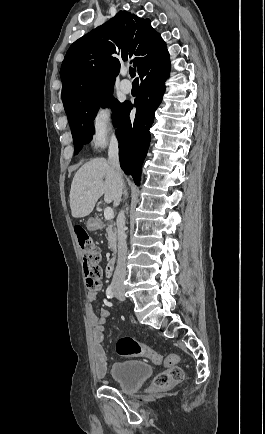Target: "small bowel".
I'll use <instances>...</instances> for the list:
<instances>
[{"label":"small bowel","instance_id":"1","mask_svg":"<svg viewBox=\"0 0 265 434\" xmlns=\"http://www.w3.org/2000/svg\"><path fill=\"white\" fill-rule=\"evenodd\" d=\"M97 298L98 293L96 291H88L86 294L91 322L92 372L96 378L102 379L107 373V353L103 345L104 332L105 325L108 322L111 313L107 308H101L98 315L94 313L93 303ZM160 364L166 368L172 365L167 358Z\"/></svg>","mask_w":265,"mask_h":434}]
</instances>
